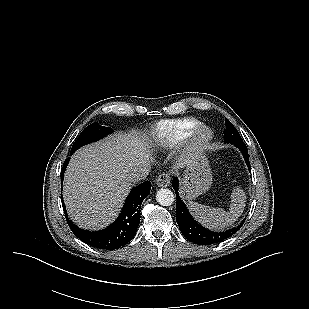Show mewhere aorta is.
Returning a JSON list of instances; mask_svg holds the SVG:
<instances>
[{
  "instance_id": "aorta-1",
  "label": "aorta",
  "mask_w": 309,
  "mask_h": 309,
  "mask_svg": "<svg viewBox=\"0 0 309 309\" xmlns=\"http://www.w3.org/2000/svg\"><path fill=\"white\" fill-rule=\"evenodd\" d=\"M156 200L162 206H170L173 204L175 197L171 190L161 188L156 193Z\"/></svg>"
}]
</instances>
